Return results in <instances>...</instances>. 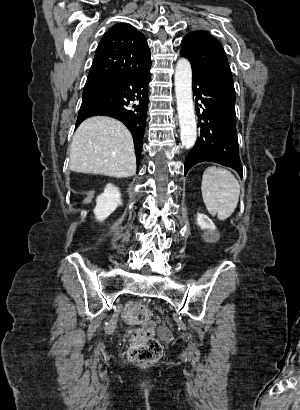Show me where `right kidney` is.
I'll use <instances>...</instances> for the list:
<instances>
[{
	"instance_id": "obj_1",
	"label": "right kidney",
	"mask_w": 300,
	"mask_h": 410,
	"mask_svg": "<svg viewBox=\"0 0 300 410\" xmlns=\"http://www.w3.org/2000/svg\"><path fill=\"white\" fill-rule=\"evenodd\" d=\"M94 214L98 221L105 220L115 209L122 204L121 194L117 187L108 184L104 192L96 199Z\"/></svg>"
}]
</instances>
